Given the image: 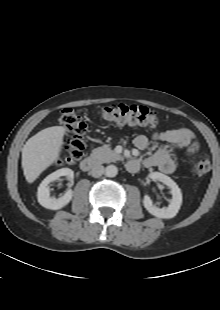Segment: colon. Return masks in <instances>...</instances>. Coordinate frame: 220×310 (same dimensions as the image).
I'll use <instances>...</instances> for the list:
<instances>
[{
    "mask_svg": "<svg viewBox=\"0 0 220 310\" xmlns=\"http://www.w3.org/2000/svg\"><path fill=\"white\" fill-rule=\"evenodd\" d=\"M101 114L104 119L118 125L155 127L158 124L157 114L141 106L108 105L102 108ZM59 121L67 132L63 162H75L83 155L86 123L71 108L62 110ZM210 168L211 161L207 156L199 158L193 165L194 173L199 176L208 173Z\"/></svg>",
    "mask_w": 220,
    "mask_h": 310,
    "instance_id": "obj_1",
    "label": "colon"
}]
</instances>
